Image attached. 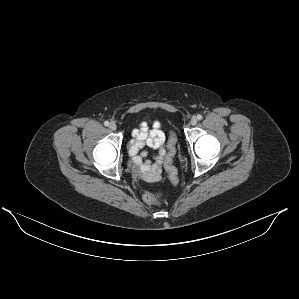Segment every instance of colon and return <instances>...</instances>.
Wrapping results in <instances>:
<instances>
[{
	"label": "colon",
	"mask_w": 299,
	"mask_h": 299,
	"mask_svg": "<svg viewBox=\"0 0 299 299\" xmlns=\"http://www.w3.org/2000/svg\"><path fill=\"white\" fill-rule=\"evenodd\" d=\"M175 143H176V138L174 136H171L169 140V154L167 159L168 166L170 165V161L174 155ZM170 175L172 181L176 183L177 182L176 173L171 168H170ZM160 195L161 193L159 191H147L144 193L143 198L145 202L149 205H160V200H159Z\"/></svg>",
	"instance_id": "colon-1"
}]
</instances>
